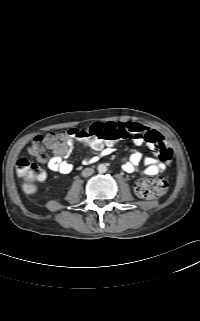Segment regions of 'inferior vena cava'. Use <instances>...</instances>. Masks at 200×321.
Masks as SVG:
<instances>
[{"label":"inferior vena cava","mask_w":200,"mask_h":321,"mask_svg":"<svg viewBox=\"0 0 200 321\" xmlns=\"http://www.w3.org/2000/svg\"><path fill=\"white\" fill-rule=\"evenodd\" d=\"M93 173H94V170H93L92 168H85V169L82 171V176H83V177H89V176H91Z\"/></svg>","instance_id":"obj_1"}]
</instances>
